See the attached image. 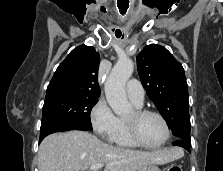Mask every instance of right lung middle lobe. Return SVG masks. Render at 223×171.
<instances>
[{"label": "right lung middle lobe", "instance_id": "1", "mask_svg": "<svg viewBox=\"0 0 223 171\" xmlns=\"http://www.w3.org/2000/svg\"><path fill=\"white\" fill-rule=\"evenodd\" d=\"M98 97L60 95L45 99L40 132L62 122H74L92 129L90 112Z\"/></svg>", "mask_w": 223, "mask_h": 171}]
</instances>
